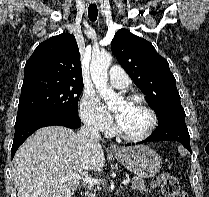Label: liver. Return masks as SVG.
Returning <instances> with one entry per match:
<instances>
[{
	"label": "liver",
	"instance_id": "6515ba94",
	"mask_svg": "<svg viewBox=\"0 0 209 197\" xmlns=\"http://www.w3.org/2000/svg\"><path fill=\"white\" fill-rule=\"evenodd\" d=\"M104 152L99 143L63 126L37 130L18 149L12 178L18 197H71L80 180L69 172L86 176L104 167Z\"/></svg>",
	"mask_w": 209,
	"mask_h": 197
}]
</instances>
